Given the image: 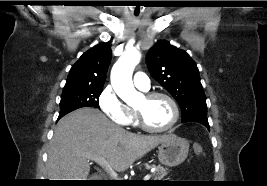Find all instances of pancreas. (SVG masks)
Returning <instances> with one entry per match:
<instances>
[{
    "mask_svg": "<svg viewBox=\"0 0 267 186\" xmlns=\"http://www.w3.org/2000/svg\"><path fill=\"white\" fill-rule=\"evenodd\" d=\"M147 168L148 169L154 168L155 171L152 174V178L154 179V181H159L168 174V169L164 168L161 165H158V166L150 165V166H147Z\"/></svg>",
    "mask_w": 267,
    "mask_h": 186,
    "instance_id": "obj_1",
    "label": "pancreas"
}]
</instances>
